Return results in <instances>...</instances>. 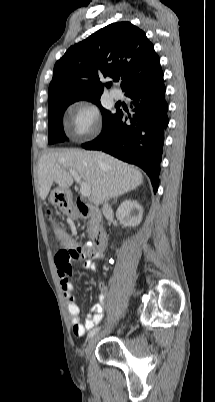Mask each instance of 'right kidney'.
<instances>
[{
  "mask_svg": "<svg viewBox=\"0 0 215 402\" xmlns=\"http://www.w3.org/2000/svg\"><path fill=\"white\" fill-rule=\"evenodd\" d=\"M117 219L125 226L136 227L143 217V208L137 201L125 200L116 211Z\"/></svg>",
  "mask_w": 215,
  "mask_h": 402,
  "instance_id": "obj_1",
  "label": "right kidney"
}]
</instances>
